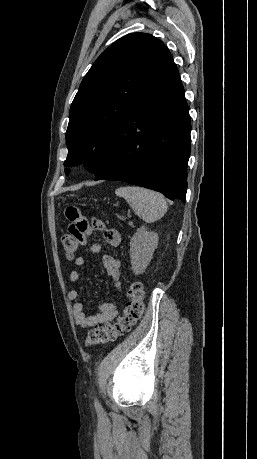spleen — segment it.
<instances>
[{
  "label": "spleen",
  "instance_id": "1",
  "mask_svg": "<svg viewBox=\"0 0 257 459\" xmlns=\"http://www.w3.org/2000/svg\"><path fill=\"white\" fill-rule=\"evenodd\" d=\"M117 196L123 197L134 213L147 223L160 219L167 212V202L162 194L138 186L116 189Z\"/></svg>",
  "mask_w": 257,
  "mask_h": 459
}]
</instances>
